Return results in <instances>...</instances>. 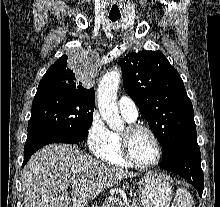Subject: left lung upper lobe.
Instances as JSON below:
<instances>
[{
    "label": "left lung upper lobe",
    "mask_w": 220,
    "mask_h": 207,
    "mask_svg": "<svg viewBox=\"0 0 220 207\" xmlns=\"http://www.w3.org/2000/svg\"><path fill=\"white\" fill-rule=\"evenodd\" d=\"M120 65L126 93L164 151L197 135L193 106L183 81L161 51L129 53Z\"/></svg>",
    "instance_id": "5c2ea615"
}]
</instances>
